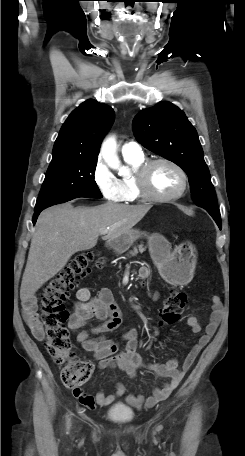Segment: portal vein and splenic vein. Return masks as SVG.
Returning a JSON list of instances; mask_svg holds the SVG:
<instances>
[{"mask_svg":"<svg viewBox=\"0 0 245 456\" xmlns=\"http://www.w3.org/2000/svg\"><path fill=\"white\" fill-rule=\"evenodd\" d=\"M109 228L104 229L101 234H106Z\"/></svg>","mask_w":245,"mask_h":456,"instance_id":"18ae733b","label":"portal vein and splenic vein"}]
</instances>
